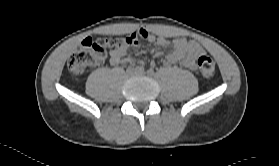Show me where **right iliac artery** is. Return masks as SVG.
<instances>
[{
    "label": "right iliac artery",
    "instance_id": "1",
    "mask_svg": "<svg viewBox=\"0 0 279 166\" xmlns=\"http://www.w3.org/2000/svg\"><path fill=\"white\" fill-rule=\"evenodd\" d=\"M136 71H137V72H143V71H144V67L141 66V65H140V66H137V67H136Z\"/></svg>",
    "mask_w": 279,
    "mask_h": 166
}]
</instances>
